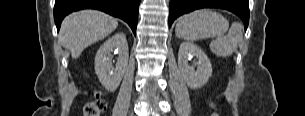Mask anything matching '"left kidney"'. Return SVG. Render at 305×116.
Listing matches in <instances>:
<instances>
[{
	"mask_svg": "<svg viewBox=\"0 0 305 116\" xmlns=\"http://www.w3.org/2000/svg\"><path fill=\"white\" fill-rule=\"evenodd\" d=\"M196 57L198 63L188 64L190 57ZM195 66L197 69L195 70ZM178 67L188 87L192 89L204 86L212 75V65L207 55L195 44L183 42L178 52Z\"/></svg>",
	"mask_w": 305,
	"mask_h": 116,
	"instance_id": "5707ae66",
	"label": "left kidney"
}]
</instances>
